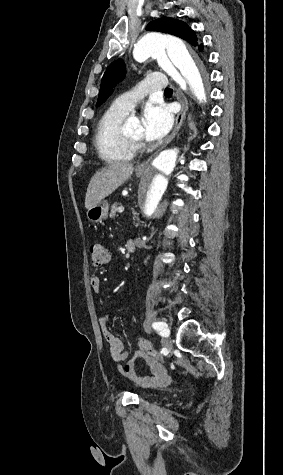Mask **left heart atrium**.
<instances>
[{"instance_id":"obj_1","label":"left heart atrium","mask_w":283,"mask_h":475,"mask_svg":"<svg viewBox=\"0 0 283 475\" xmlns=\"http://www.w3.org/2000/svg\"><path fill=\"white\" fill-rule=\"evenodd\" d=\"M142 127L144 138L159 140L165 137L173 125V114L168 105L151 103L143 111Z\"/></svg>"}]
</instances>
